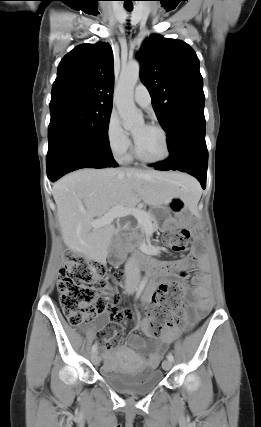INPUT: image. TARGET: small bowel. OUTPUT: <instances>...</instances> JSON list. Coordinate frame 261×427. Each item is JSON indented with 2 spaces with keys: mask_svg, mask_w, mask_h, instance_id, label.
I'll list each match as a JSON object with an SVG mask.
<instances>
[{
  "mask_svg": "<svg viewBox=\"0 0 261 427\" xmlns=\"http://www.w3.org/2000/svg\"><path fill=\"white\" fill-rule=\"evenodd\" d=\"M195 262L196 257L193 254L175 261L158 262V272L143 294L142 303L144 305L149 304L156 290L162 289L168 282L176 279L175 275L171 273L172 269L192 268L195 266ZM192 284L194 285L192 291V297L194 299L193 311L185 314L183 328L173 325L163 332L157 340H151L149 342H146L142 337L136 334L129 335L128 343L137 351V354L130 356V360L135 363L139 369L148 371L156 368L169 345L183 331H187L194 326L209 311L211 299L208 277L205 274H198L192 279ZM113 300L115 301L116 298L113 297ZM105 308L107 315L99 319L98 325L102 329L99 335V342L101 346L107 350L110 349V346L115 345L122 336V328L120 326L117 328L110 326L109 322L118 324L124 318L131 317L132 314L128 310L121 311L119 308H116L114 302H107ZM134 323L137 328L147 331L148 321L139 314L135 315ZM86 331L92 332L93 329L88 328ZM145 355H147L146 358L144 357Z\"/></svg>",
  "mask_w": 261,
  "mask_h": 427,
  "instance_id": "1",
  "label": "small bowel"
}]
</instances>
